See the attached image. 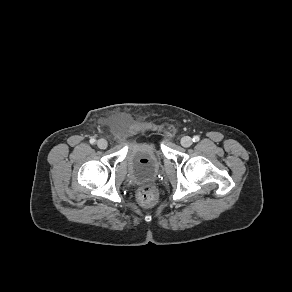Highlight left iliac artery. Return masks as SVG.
<instances>
[{"mask_svg":"<svg viewBox=\"0 0 292 292\" xmlns=\"http://www.w3.org/2000/svg\"><path fill=\"white\" fill-rule=\"evenodd\" d=\"M199 140H200L199 136L196 135L193 137V142H198Z\"/></svg>","mask_w":292,"mask_h":292,"instance_id":"left-iliac-artery-1","label":"left iliac artery"}]
</instances>
